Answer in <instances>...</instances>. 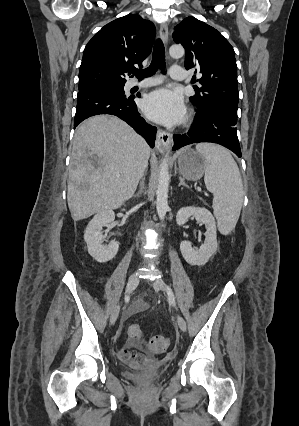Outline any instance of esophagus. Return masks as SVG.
<instances>
[{
  "label": "esophagus",
  "instance_id": "1",
  "mask_svg": "<svg viewBox=\"0 0 299 426\" xmlns=\"http://www.w3.org/2000/svg\"><path fill=\"white\" fill-rule=\"evenodd\" d=\"M159 34L163 43L167 46L168 43V27L166 23H161ZM172 135L162 129L157 131L156 147L160 151H167L170 148Z\"/></svg>",
  "mask_w": 299,
  "mask_h": 426
}]
</instances>
